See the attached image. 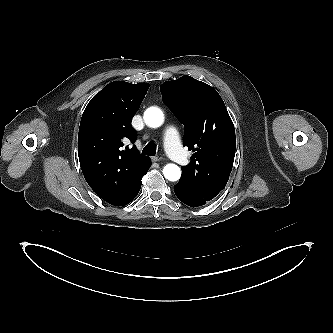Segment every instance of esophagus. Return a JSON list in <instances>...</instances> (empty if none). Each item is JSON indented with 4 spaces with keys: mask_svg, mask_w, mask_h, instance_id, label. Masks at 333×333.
Returning <instances> with one entry per match:
<instances>
[{
    "mask_svg": "<svg viewBox=\"0 0 333 333\" xmlns=\"http://www.w3.org/2000/svg\"><path fill=\"white\" fill-rule=\"evenodd\" d=\"M151 159H152V161H154V162H158V161H161L163 158H162L161 156L157 155V156H153V157H151Z\"/></svg>",
    "mask_w": 333,
    "mask_h": 333,
    "instance_id": "1",
    "label": "esophagus"
}]
</instances>
